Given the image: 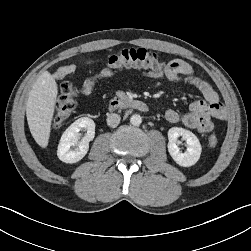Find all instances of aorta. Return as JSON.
<instances>
[{
  "label": "aorta",
  "instance_id": "obj_1",
  "mask_svg": "<svg viewBox=\"0 0 251 251\" xmlns=\"http://www.w3.org/2000/svg\"><path fill=\"white\" fill-rule=\"evenodd\" d=\"M130 122L134 126H139L142 123V117L138 114H134L131 116Z\"/></svg>",
  "mask_w": 251,
  "mask_h": 251
}]
</instances>
